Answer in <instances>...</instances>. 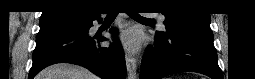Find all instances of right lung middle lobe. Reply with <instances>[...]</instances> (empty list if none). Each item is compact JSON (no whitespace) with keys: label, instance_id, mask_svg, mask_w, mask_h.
I'll return each instance as SVG.
<instances>
[{"label":"right lung middle lobe","instance_id":"right-lung-middle-lobe-1","mask_svg":"<svg viewBox=\"0 0 255 79\" xmlns=\"http://www.w3.org/2000/svg\"><path fill=\"white\" fill-rule=\"evenodd\" d=\"M84 20H80L73 13H64L46 18H40V32L55 28H76L79 27Z\"/></svg>","mask_w":255,"mask_h":79}]
</instances>
